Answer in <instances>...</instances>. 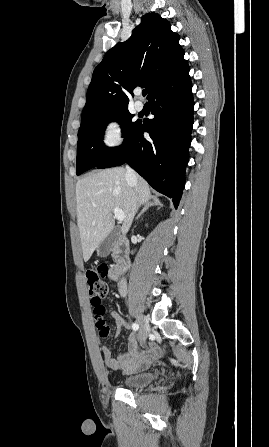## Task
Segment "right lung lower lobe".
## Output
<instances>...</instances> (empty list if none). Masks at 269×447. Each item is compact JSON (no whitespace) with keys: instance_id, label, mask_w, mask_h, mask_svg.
<instances>
[{"instance_id":"obj_1","label":"right lung lower lobe","mask_w":269,"mask_h":447,"mask_svg":"<svg viewBox=\"0 0 269 447\" xmlns=\"http://www.w3.org/2000/svg\"><path fill=\"white\" fill-rule=\"evenodd\" d=\"M188 63L149 94L152 120L140 123L124 145L97 166L128 163L155 190L172 198L177 208L185 184V168L193 125V95ZM150 134V140L143 133Z\"/></svg>"}]
</instances>
